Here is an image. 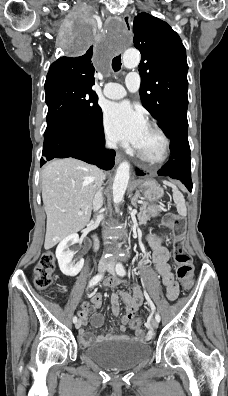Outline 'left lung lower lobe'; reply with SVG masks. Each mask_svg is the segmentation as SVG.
Segmentation results:
<instances>
[{"instance_id":"0a47b994","label":"left lung lower lobe","mask_w":228,"mask_h":396,"mask_svg":"<svg viewBox=\"0 0 228 396\" xmlns=\"http://www.w3.org/2000/svg\"><path fill=\"white\" fill-rule=\"evenodd\" d=\"M160 128L171 140L170 150L172 155L169 161L158 171V175L180 180L191 192L187 107H180L170 112ZM136 172L138 175H144L140 170H136Z\"/></svg>"}]
</instances>
